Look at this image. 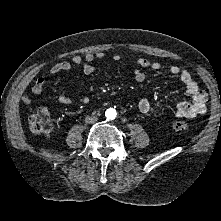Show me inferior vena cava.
<instances>
[{"instance_id": "1", "label": "inferior vena cava", "mask_w": 221, "mask_h": 221, "mask_svg": "<svg viewBox=\"0 0 221 221\" xmlns=\"http://www.w3.org/2000/svg\"><path fill=\"white\" fill-rule=\"evenodd\" d=\"M97 117L96 116H87L85 118V122L88 123V124H93L97 121Z\"/></svg>"}]
</instances>
